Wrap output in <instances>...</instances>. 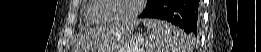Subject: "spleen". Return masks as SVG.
Listing matches in <instances>:
<instances>
[{"label":"spleen","instance_id":"obj_1","mask_svg":"<svg viewBox=\"0 0 261 52\" xmlns=\"http://www.w3.org/2000/svg\"><path fill=\"white\" fill-rule=\"evenodd\" d=\"M150 52H192L193 41L175 26L156 19H145Z\"/></svg>","mask_w":261,"mask_h":52}]
</instances>
